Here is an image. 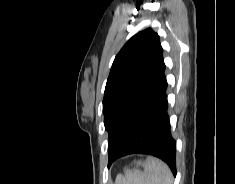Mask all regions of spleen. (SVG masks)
<instances>
[{"label":"spleen","mask_w":235,"mask_h":184,"mask_svg":"<svg viewBox=\"0 0 235 184\" xmlns=\"http://www.w3.org/2000/svg\"><path fill=\"white\" fill-rule=\"evenodd\" d=\"M116 184H173V176L162 160L149 158L144 164V172L126 170L125 176H117Z\"/></svg>","instance_id":"1"}]
</instances>
